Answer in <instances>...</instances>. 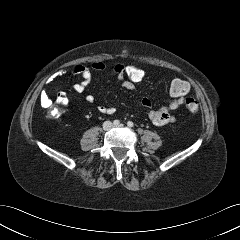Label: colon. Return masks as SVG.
<instances>
[{
    "label": "colon",
    "mask_w": 240,
    "mask_h": 240,
    "mask_svg": "<svg viewBox=\"0 0 240 240\" xmlns=\"http://www.w3.org/2000/svg\"><path fill=\"white\" fill-rule=\"evenodd\" d=\"M124 76L135 86L142 83L145 79L146 72L142 66L137 63L124 64ZM190 90L187 81L181 79L173 80L169 85V94L172 98L185 97V108L190 113H196L199 110L198 102L192 97H186ZM52 117H58L61 114L59 109L53 108L50 111Z\"/></svg>",
    "instance_id": "obj_1"
}]
</instances>
